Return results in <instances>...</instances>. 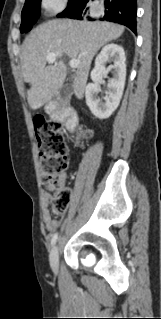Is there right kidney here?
<instances>
[{
	"label": "right kidney",
	"instance_id": "obj_1",
	"mask_svg": "<svg viewBox=\"0 0 161 319\" xmlns=\"http://www.w3.org/2000/svg\"><path fill=\"white\" fill-rule=\"evenodd\" d=\"M125 60L124 49L114 43L104 46L95 59V67L91 72L93 83L87 85L85 98L92 114L99 119L110 117L120 103L126 79ZM110 62L113 64L106 68L105 64ZM112 69L114 70L113 78L107 84L109 90L105 92V97L101 99L98 93L103 81L102 77Z\"/></svg>",
	"mask_w": 161,
	"mask_h": 319
}]
</instances>
